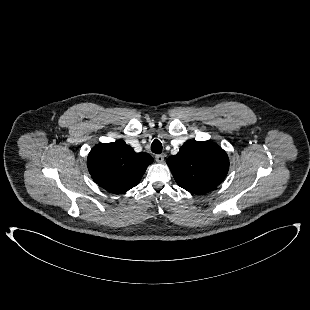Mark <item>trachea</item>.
Wrapping results in <instances>:
<instances>
[{
  "instance_id": "trachea-1",
  "label": "trachea",
  "mask_w": 310,
  "mask_h": 310,
  "mask_svg": "<svg viewBox=\"0 0 310 310\" xmlns=\"http://www.w3.org/2000/svg\"><path fill=\"white\" fill-rule=\"evenodd\" d=\"M151 151L155 154L162 153V144L158 139H155L151 144Z\"/></svg>"
}]
</instances>
